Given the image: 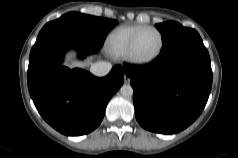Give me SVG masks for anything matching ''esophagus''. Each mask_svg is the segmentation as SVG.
<instances>
[{
  "instance_id": "obj_1",
  "label": "esophagus",
  "mask_w": 238,
  "mask_h": 158,
  "mask_svg": "<svg viewBox=\"0 0 238 158\" xmlns=\"http://www.w3.org/2000/svg\"><path fill=\"white\" fill-rule=\"evenodd\" d=\"M130 80H131L130 77H128L127 75L124 76L125 83H127V84L130 83Z\"/></svg>"
}]
</instances>
